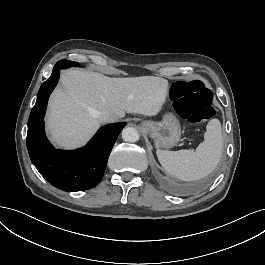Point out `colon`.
Returning a JSON list of instances; mask_svg holds the SVG:
<instances>
[{
    "instance_id": "5ec220e1",
    "label": "colon",
    "mask_w": 265,
    "mask_h": 265,
    "mask_svg": "<svg viewBox=\"0 0 265 265\" xmlns=\"http://www.w3.org/2000/svg\"><path fill=\"white\" fill-rule=\"evenodd\" d=\"M168 84L166 95L188 123L195 125L215 116L216 110L211 99L213 91L201 83L198 76L189 80L174 78Z\"/></svg>"
}]
</instances>
